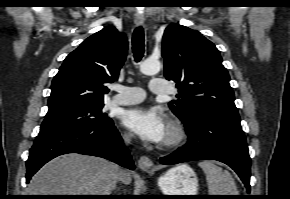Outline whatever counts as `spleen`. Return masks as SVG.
<instances>
[{
    "instance_id": "3e777b00",
    "label": "spleen",
    "mask_w": 290,
    "mask_h": 199,
    "mask_svg": "<svg viewBox=\"0 0 290 199\" xmlns=\"http://www.w3.org/2000/svg\"><path fill=\"white\" fill-rule=\"evenodd\" d=\"M206 175L209 195H238L231 174L212 161L198 163Z\"/></svg>"
}]
</instances>
